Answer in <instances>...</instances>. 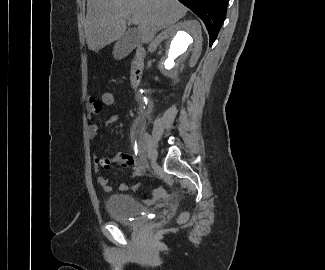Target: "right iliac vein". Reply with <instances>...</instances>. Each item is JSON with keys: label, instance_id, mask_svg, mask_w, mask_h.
Segmentation results:
<instances>
[{"label": "right iliac vein", "instance_id": "right-iliac-vein-1", "mask_svg": "<svg viewBox=\"0 0 325 270\" xmlns=\"http://www.w3.org/2000/svg\"><path fill=\"white\" fill-rule=\"evenodd\" d=\"M157 155H158L157 150H156V148L153 146V148L151 149V151H150L148 157H149V159H150L152 162H155V161L157 160Z\"/></svg>", "mask_w": 325, "mask_h": 270}]
</instances>
